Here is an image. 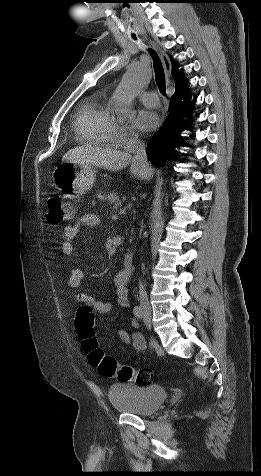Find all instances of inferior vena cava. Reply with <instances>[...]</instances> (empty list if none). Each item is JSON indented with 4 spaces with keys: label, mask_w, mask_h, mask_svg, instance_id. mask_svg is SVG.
<instances>
[{
    "label": "inferior vena cava",
    "mask_w": 261,
    "mask_h": 476,
    "mask_svg": "<svg viewBox=\"0 0 261 476\" xmlns=\"http://www.w3.org/2000/svg\"><path fill=\"white\" fill-rule=\"evenodd\" d=\"M126 151L129 153L134 154V158L142 163H148L147 162V153L145 150V144L142 143L138 139L137 134H133L127 144H126ZM139 300H140V306L145 310V311H150V306H149V301H148V296L147 292L145 290V287L143 283L140 281L139 282Z\"/></svg>",
    "instance_id": "obj_1"
}]
</instances>
